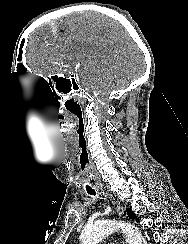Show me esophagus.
I'll return each mask as SVG.
<instances>
[{"label":"esophagus","mask_w":188,"mask_h":244,"mask_svg":"<svg viewBox=\"0 0 188 244\" xmlns=\"http://www.w3.org/2000/svg\"><path fill=\"white\" fill-rule=\"evenodd\" d=\"M107 195H108V194H107ZM117 212H118V215H119V216H121L122 213H123V209H122L119 205H117Z\"/></svg>","instance_id":"obj_1"}]
</instances>
